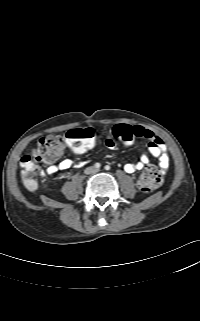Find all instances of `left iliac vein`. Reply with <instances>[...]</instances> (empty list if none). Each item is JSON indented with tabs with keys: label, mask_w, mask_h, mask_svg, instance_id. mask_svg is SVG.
<instances>
[{
	"label": "left iliac vein",
	"mask_w": 200,
	"mask_h": 321,
	"mask_svg": "<svg viewBox=\"0 0 200 321\" xmlns=\"http://www.w3.org/2000/svg\"><path fill=\"white\" fill-rule=\"evenodd\" d=\"M100 170L99 169H96V172H99Z\"/></svg>",
	"instance_id": "obj_1"
}]
</instances>
